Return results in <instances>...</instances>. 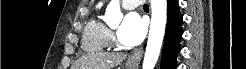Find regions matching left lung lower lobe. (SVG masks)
<instances>
[{
    "label": "left lung lower lobe",
    "instance_id": "0a47b994",
    "mask_svg": "<svg viewBox=\"0 0 246 69\" xmlns=\"http://www.w3.org/2000/svg\"><path fill=\"white\" fill-rule=\"evenodd\" d=\"M168 19L164 38L161 69H176V57L180 51L182 36V15L176 0H167Z\"/></svg>",
    "mask_w": 246,
    "mask_h": 69
}]
</instances>
